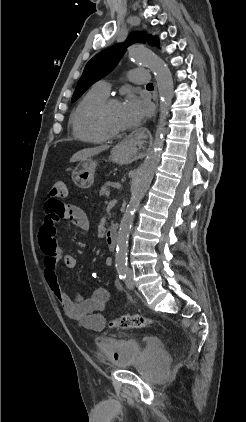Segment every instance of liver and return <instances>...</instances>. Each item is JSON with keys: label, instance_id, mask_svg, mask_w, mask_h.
I'll list each match as a JSON object with an SVG mask.
<instances>
[{"label": "liver", "instance_id": "1", "mask_svg": "<svg viewBox=\"0 0 246 422\" xmlns=\"http://www.w3.org/2000/svg\"><path fill=\"white\" fill-rule=\"evenodd\" d=\"M108 148H109V146L103 145V146H100V147L83 149V150L75 153L71 157L70 162L84 161V160H86V159H88V158H90L94 155H98L99 153L107 150Z\"/></svg>", "mask_w": 246, "mask_h": 422}]
</instances>
